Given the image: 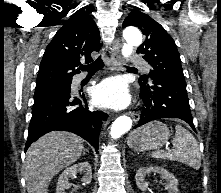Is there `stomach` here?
Returning <instances> with one entry per match:
<instances>
[{
    "mask_svg": "<svg viewBox=\"0 0 221 193\" xmlns=\"http://www.w3.org/2000/svg\"><path fill=\"white\" fill-rule=\"evenodd\" d=\"M170 137L166 124L152 121L137 128L129 134L128 146L136 151H146L161 148Z\"/></svg>",
    "mask_w": 221,
    "mask_h": 193,
    "instance_id": "1",
    "label": "stomach"
}]
</instances>
